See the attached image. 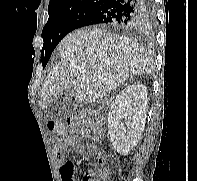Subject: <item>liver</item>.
<instances>
[{"mask_svg": "<svg viewBox=\"0 0 197 181\" xmlns=\"http://www.w3.org/2000/svg\"><path fill=\"white\" fill-rule=\"evenodd\" d=\"M61 61L50 70L39 105L47 108L71 87L78 103L91 104L131 75L150 73L153 60L137 42L98 28L76 30L58 45Z\"/></svg>", "mask_w": 197, "mask_h": 181, "instance_id": "6515ba94", "label": "liver"}]
</instances>
